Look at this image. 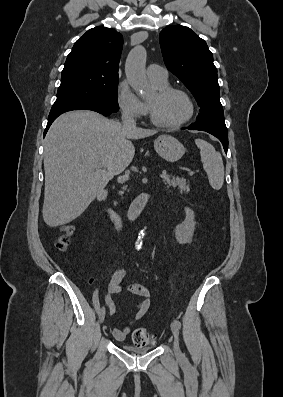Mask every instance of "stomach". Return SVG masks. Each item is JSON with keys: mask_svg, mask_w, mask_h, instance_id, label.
<instances>
[{"mask_svg": "<svg viewBox=\"0 0 283 397\" xmlns=\"http://www.w3.org/2000/svg\"><path fill=\"white\" fill-rule=\"evenodd\" d=\"M156 152L168 162L178 161L185 153L181 142L171 135H161L154 141Z\"/></svg>", "mask_w": 283, "mask_h": 397, "instance_id": "0dacf381", "label": "stomach"}]
</instances>
